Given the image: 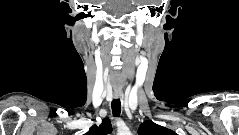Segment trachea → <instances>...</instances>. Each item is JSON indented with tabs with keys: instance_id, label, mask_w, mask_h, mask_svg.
I'll list each match as a JSON object with an SVG mask.
<instances>
[{
	"instance_id": "trachea-1",
	"label": "trachea",
	"mask_w": 239,
	"mask_h": 135,
	"mask_svg": "<svg viewBox=\"0 0 239 135\" xmlns=\"http://www.w3.org/2000/svg\"><path fill=\"white\" fill-rule=\"evenodd\" d=\"M112 113L113 116L118 117L121 113V102L120 99H113L112 101Z\"/></svg>"
}]
</instances>
